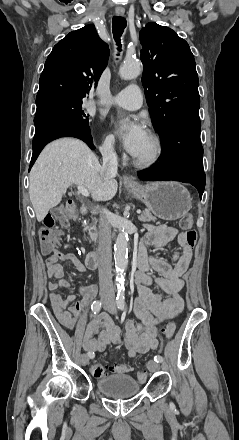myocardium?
Wrapping results in <instances>:
<instances>
[{
    "label": "myocardium",
    "mask_w": 239,
    "mask_h": 440,
    "mask_svg": "<svg viewBox=\"0 0 239 440\" xmlns=\"http://www.w3.org/2000/svg\"><path fill=\"white\" fill-rule=\"evenodd\" d=\"M149 137L154 145V152L150 157L144 158L139 156H132V160L135 166L141 169H150L155 167L163 158L164 155V143L162 138L154 131H149Z\"/></svg>",
    "instance_id": "obj_1"
}]
</instances>
